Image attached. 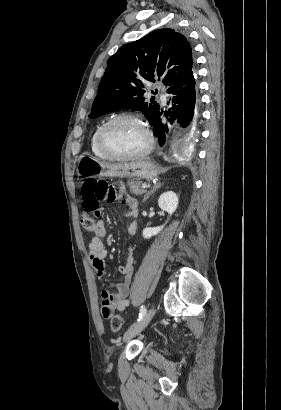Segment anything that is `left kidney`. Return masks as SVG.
<instances>
[{
    "label": "left kidney",
    "instance_id": "obj_1",
    "mask_svg": "<svg viewBox=\"0 0 281 410\" xmlns=\"http://www.w3.org/2000/svg\"><path fill=\"white\" fill-rule=\"evenodd\" d=\"M178 201V196L173 191H168L160 195L158 205L163 211H166L169 215H172L177 209ZM163 227L164 225L153 228H145L143 229V237L149 239L160 233Z\"/></svg>",
    "mask_w": 281,
    "mask_h": 410
}]
</instances>
